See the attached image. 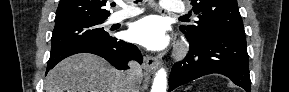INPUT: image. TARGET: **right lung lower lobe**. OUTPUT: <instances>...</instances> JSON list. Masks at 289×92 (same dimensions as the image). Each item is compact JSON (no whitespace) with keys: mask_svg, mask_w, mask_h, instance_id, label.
<instances>
[{"mask_svg":"<svg viewBox=\"0 0 289 92\" xmlns=\"http://www.w3.org/2000/svg\"><path fill=\"white\" fill-rule=\"evenodd\" d=\"M76 53L96 54L120 70L128 69L127 63L131 59L142 63V55L135 45L113 38L107 41L76 43L52 51L46 73L61 60Z\"/></svg>","mask_w":289,"mask_h":92,"instance_id":"98d812e1","label":"right lung lower lobe"}]
</instances>
